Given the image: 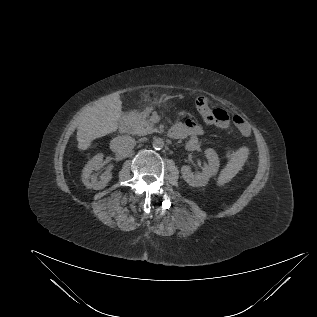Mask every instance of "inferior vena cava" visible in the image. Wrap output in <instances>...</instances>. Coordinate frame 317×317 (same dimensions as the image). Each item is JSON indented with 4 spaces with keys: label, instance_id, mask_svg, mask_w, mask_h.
Masks as SVG:
<instances>
[{
    "label": "inferior vena cava",
    "instance_id": "obj_1",
    "mask_svg": "<svg viewBox=\"0 0 317 317\" xmlns=\"http://www.w3.org/2000/svg\"><path fill=\"white\" fill-rule=\"evenodd\" d=\"M135 139L128 135H122L114 138L110 143L112 151L125 154L130 152L135 146Z\"/></svg>",
    "mask_w": 317,
    "mask_h": 317
}]
</instances>
